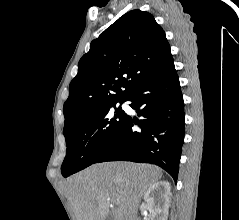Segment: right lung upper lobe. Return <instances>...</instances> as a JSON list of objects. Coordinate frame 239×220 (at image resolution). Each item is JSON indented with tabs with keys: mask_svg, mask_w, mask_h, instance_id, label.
<instances>
[{
	"mask_svg": "<svg viewBox=\"0 0 239 220\" xmlns=\"http://www.w3.org/2000/svg\"><path fill=\"white\" fill-rule=\"evenodd\" d=\"M173 60L165 32L152 14L127 12L90 44L64 103V130L87 113L126 98Z\"/></svg>",
	"mask_w": 239,
	"mask_h": 220,
	"instance_id": "1",
	"label": "right lung upper lobe"
}]
</instances>
